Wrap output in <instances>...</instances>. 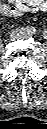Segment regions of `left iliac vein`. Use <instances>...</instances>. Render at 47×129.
<instances>
[{"instance_id":"left-iliac-vein-1","label":"left iliac vein","mask_w":47,"mask_h":129,"mask_svg":"<svg viewBox=\"0 0 47 129\" xmlns=\"http://www.w3.org/2000/svg\"><path fill=\"white\" fill-rule=\"evenodd\" d=\"M30 36H31L30 33H27V34L24 35V37H30Z\"/></svg>"}]
</instances>
